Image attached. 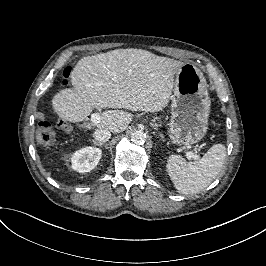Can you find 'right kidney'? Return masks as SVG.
Returning <instances> with one entry per match:
<instances>
[{
    "label": "right kidney",
    "instance_id": "ca27d5eb",
    "mask_svg": "<svg viewBox=\"0 0 266 266\" xmlns=\"http://www.w3.org/2000/svg\"><path fill=\"white\" fill-rule=\"evenodd\" d=\"M102 156V150L97 147H85L76 151L72 157V169L85 173L94 169Z\"/></svg>",
    "mask_w": 266,
    "mask_h": 266
}]
</instances>
